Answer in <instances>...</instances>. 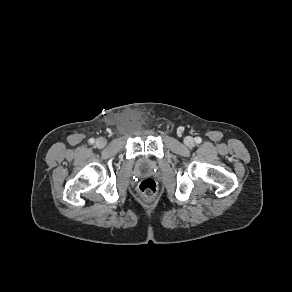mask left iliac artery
Returning a JSON list of instances; mask_svg holds the SVG:
<instances>
[{"instance_id":"obj_1","label":"left iliac artery","mask_w":292,"mask_h":292,"mask_svg":"<svg viewBox=\"0 0 292 292\" xmlns=\"http://www.w3.org/2000/svg\"><path fill=\"white\" fill-rule=\"evenodd\" d=\"M195 141H196V143H201L202 142V139L200 137H196L195 138Z\"/></svg>"}]
</instances>
